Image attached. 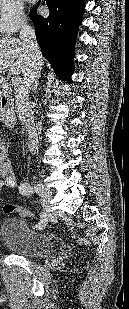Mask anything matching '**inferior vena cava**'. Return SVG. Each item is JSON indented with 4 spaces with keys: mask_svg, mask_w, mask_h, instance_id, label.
Listing matches in <instances>:
<instances>
[{
    "mask_svg": "<svg viewBox=\"0 0 129 309\" xmlns=\"http://www.w3.org/2000/svg\"><path fill=\"white\" fill-rule=\"evenodd\" d=\"M19 38L27 49L30 64L15 94L16 109L20 121L28 129L30 150L35 152L37 150L38 140L34 130L33 113L30 105V89L40 77L42 55L36 41L34 28L31 25L28 23L22 25Z\"/></svg>",
    "mask_w": 129,
    "mask_h": 309,
    "instance_id": "obj_1",
    "label": "inferior vena cava"
}]
</instances>
